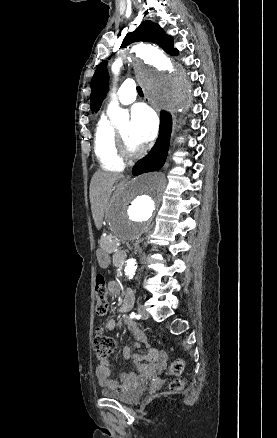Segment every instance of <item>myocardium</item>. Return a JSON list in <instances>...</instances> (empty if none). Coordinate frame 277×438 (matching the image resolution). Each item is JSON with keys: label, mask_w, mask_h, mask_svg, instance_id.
<instances>
[{"label": "myocardium", "mask_w": 277, "mask_h": 438, "mask_svg": "<svg viewBox=\"0 0 277 438\" xmlns=\"http://www.w3.org/2000/svg\"><path fill=\"white\" fill-rule=\"evenodd\" d=\"M113 141L122 160L128 161L139 155V152L133 153L130 151L125 138L118 132V130H114Z\"/></svg>", "instance_id": "f54148a6"}]
</instances>
